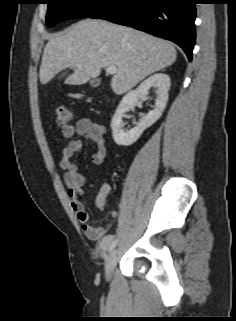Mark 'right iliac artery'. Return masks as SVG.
Segmentation results:
<instances>
[{
	"mask_svg": "<svg viewBox=\"0 0 236 321\" xmlns=\"http://www.w3.org/2000/svg\"><path fill=\"white\" fill-rule=\"evenodd\" d=\"M116 243H117L116 240H114V241L111 242V244L109 245V252H111V251L115 248Z\"/></svg>",
	"mask_w": 236,
	"mask_h": 321,
	"instance_id": "obj_1",
	"label": "right iliac artery"
}]
</instances>
